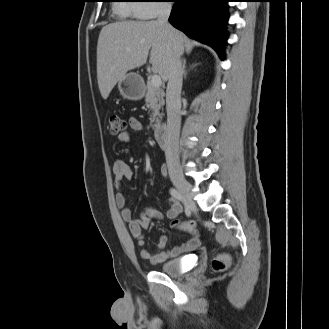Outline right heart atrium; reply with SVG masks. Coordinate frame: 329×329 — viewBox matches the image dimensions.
Returning a JSON list of instances; mask_svg holds the SVG:
<instances>
[{"mask_svg": "<svg viewBox=\"0 0 329 329\" xmlns=\"http://www.w3.org/2000/svg\"><path fill=\"white\" fill-rule=\"evenodd\" d=\"M166 2L167 0H140L136 4L135 16L139 19H153L168 10Z\"/></svg>", "mask_w": 329, "mask_h": 329, "instance_id": "right-heart-atrium-1", "label": "right heart atrium"}]
</instances>
